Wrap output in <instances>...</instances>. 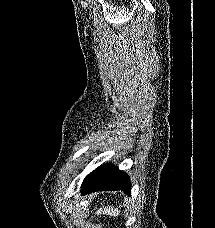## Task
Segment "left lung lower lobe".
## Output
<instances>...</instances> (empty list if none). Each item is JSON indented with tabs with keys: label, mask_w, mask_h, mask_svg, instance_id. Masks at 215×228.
<instances>
[{
	"label": "left lung lower lobe",
	"mask_w": 215,
	"mask_h": 228,
	"mask_svg": "<svg viewBox=\"0 0 215 228\" xmlns=\"http://www.w3.org/2000/svg\"><path fill=\"white\" fill-rule=\"evenodd\" d=\"M81 188L82 195L113 190H122L126 195H131L129 177L112 164H104L91 172L84 179Z\"/></svg>",
	"instance_id": "obj_1"
}]
</instances>
